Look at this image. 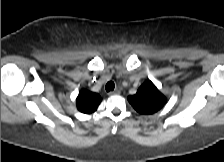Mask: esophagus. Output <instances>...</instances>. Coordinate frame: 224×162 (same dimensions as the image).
Here are the masks:
<instances>
[{
	"instance_id": "obj_1",
	"label": "esophagus",
	"mask_w": 224,
	"mask_h": 162,
	"mask_svg": "<svg viewBox=\"0 0 224 162\" xmlns=\"http://www.w3.org/2000/svg\"><path fill=\"white\" fill-rule=\"evenodd\" d=\"M116 94H120L119 89H115L114 91H111V92L108 93V95H116Z\"/></svg>"
}]
</instances>
